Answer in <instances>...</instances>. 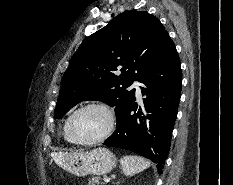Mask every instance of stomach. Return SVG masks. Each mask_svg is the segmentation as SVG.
I'll return each mask as SVG.
<instances>
[{
	"instance_id": "stomach-1",
	"label": "stomach",
	"mask_w": 233,
	"mask_h": 185,
	"mask_svg": "<svg viewBox=\"0 0 233 185\" xmlns=\"http://www.w3.org/2000/svg\"><path fill=\"white\" fill-rule=\"evenodd\" d=\"M53 159L59 167L76 176L103 175L110 172L117 163L116 156L101 147L90 151L58 152L53 155Z\"/></svg>"
}]
</instances>
